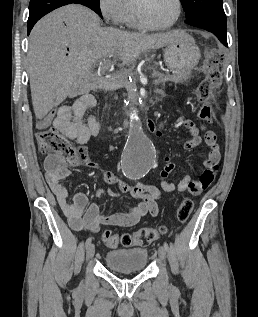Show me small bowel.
I'll list each match as a JSON object with an SVG mask.
<instances>
[{"mask_svg":"<svg viewBox=\"0 0 258 317\" xmlns=\"http://www.w3.org/2000/svg\"><path fill=\"white\" fill-rule=\"evenodd\" d=\"M96 106L94 96L85 94L79 97L73 105L62 106L56 113H51L46 119H42L38 126L40 128L53 125L63 136L76 141L79 145L86 144L90 138L99 132V122L91 114ZM191 138L184 143L186 150H192L202 143L201 128L189 119H182ZM150 130L160 134L152 121L147 123ZM204 142L210 148L204 161L205 169L197 179L184 175L178 183L168 181V175L173 171L175 165L165 159V166L160 174V187L166 192L178 190L199 194L206 189L214 180L220 162V149L214 132L207 130L204 134ZM81 164L89 169L98 172L101 177L111 185H115L122 192H128L137 200L134 205H129L124 211L114 212L111 215L101 213L96 203H89L85 193H76L71 201H68V190L62 185V181L70 175L66 163L58 157L50 155L45 159L44 167L48 185L54 194L56 201L66 216L69 225L76 231L89 230L98 232L101 225L112 227H131L137 224L146 215L153 217L159 212L158 202L161 196L160 189L154 185L137 183L130 186L122 181L112 172L105 170L93 162L88 154L85 155ZM103 193L102 189L96 191V196Z\"/></svg>","mask_w":258,"mask_h":317,"instance_id":"obj_1","label":"small bowel"}]
</instances>
